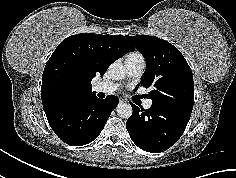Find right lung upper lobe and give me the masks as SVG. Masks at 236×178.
<instances>
[{"mask_svg":"<svg viewBox=\"0 0 236 178\" xmlns=\"http://www.w3.org/2000/svg\"><path fill=\"white\" fill-rule=\"evenodd\" d=\"M134 47L127 36L82 33L64 39L47 61L42 75L44 111L95 94L92 79Z\"/></svg>","mask_w":236,"mask_h":178,"instance_id":"obj_1","label":"right lung upper lobe"}]
</instances>
